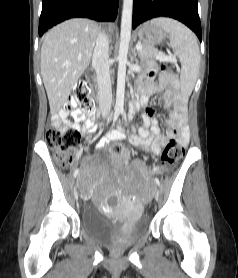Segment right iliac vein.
Wrapping results in <instances>:
<instances>
[{
	"mask_svg": "<svg viewBox=\"0 0 238 278\" xmlns=\"http://www.w3.org/2000/svg\"><path fill=\"white\" fill-rule=\"evenodd\" d=\"M74 192L73 195H77V189L76 186H73ZM75 202H78V199H75Z\"/></svg>",
	"mask_w": 238,
	"mask_h": 278,
	"instance_id": "right-iliac-vein-1",
	"label": "right iliac vein"
}]
</instances>
